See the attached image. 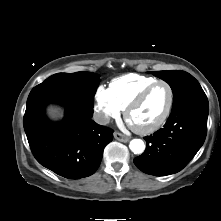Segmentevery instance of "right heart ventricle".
I'll return each mask as SVG.
<instances>
[{"instance_id":"right-heart-ventricle-1","label":"right heart ventricle","mask_w":221,"mask_h":221,"mask_svg":"<svg viewBox=\"0 0 221 221\" xmlns=\"http://www.w3.org/2000/svg\"><path fill=\"white\" fill-rule=\"evenodd\" d=\"M155 81L157 79L153 77L127 74L113 79L109 90L116 104L124 110L144 88Z\"/></svg>"}]
</instances>
